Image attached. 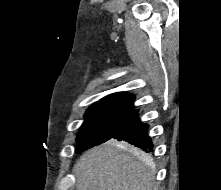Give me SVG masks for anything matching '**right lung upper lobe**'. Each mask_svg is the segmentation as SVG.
<instances>
[{"label":"right lung upper lobe","instance_id":"1","mask_svg":"<svg viewBox=\"0 0 221 190\" xmlns=\"http://www.w3.org/2000/svg\"><path fill=\"white\" fill-rule=\"evenodd\" d=\"M134 99H135L134 95L130 93L118 92L104 97L102 100L94 103L93 105H111L126 109H134L133 106Z\"/></svg>","mask_w":221,"mask_h":190}]
</instances>
